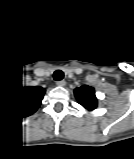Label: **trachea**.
Returning <instances> with one entry per match:
<instances>
[{"instance_id": "trachea-1", "label": "trachea", "mask_w": 134, "mask_h": 159, "mask_svg": "<svg viewBox=\"0 0 134 159\" xmlns=\"http://www.w3.org/2000/svg\"><path fill=\"white\" fill-rule=\"evenodd\" d=\"M64 77V73L61 70H57L54 72V79L57 81L62 80Z\"/></svg>"}]
</instances>
